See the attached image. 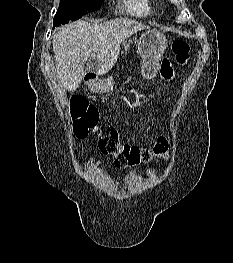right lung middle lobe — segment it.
I'll list each match as a JSON object with an SVG mask.
<instances>
[{"instance_id": "right-lung-middle-lobe-1", "label": "right lung middle lobe", "mask_w": 233, "mask_h": 263, "mask_svg": "<svg viewBox=\"0 0 233 263\" xmlns=\"http://www.w3.org/2000/svg\"><path fill=\"white\" fill-rule=\"evenodd\" d=\"M102 2L103 0H61L54 17V25L58 26L69 21H75L84 14L100 8Z\"/></svg>"}]
</instances>
